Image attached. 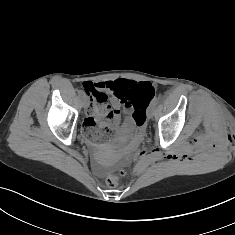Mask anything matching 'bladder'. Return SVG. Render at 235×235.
<instances>
[{"mask_svg": "<svg viewBox=\"0 0 235 235\" xmlns=\"http://www.w3.org/2000/svg\"><path fill=\"white\" fill-rule=\"evenodd\" d=\"M122 136H129L132 133V128L130 126L124 127L121 129Z\"/></svg>", "mask_w": 235, "mask_h": 235, "instance_id": "obj_1", "label": "bladder"}]
</instances>
